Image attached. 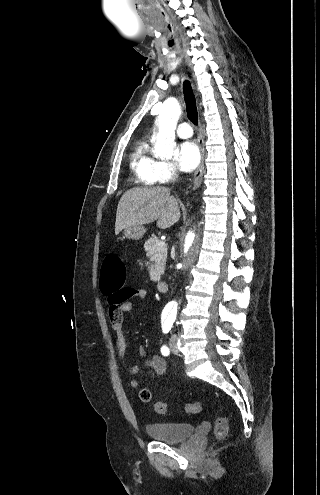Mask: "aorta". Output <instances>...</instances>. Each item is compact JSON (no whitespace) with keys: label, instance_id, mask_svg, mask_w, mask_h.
Returning <instances> with one entry per match:
<instances>
[{"label":"aorta","instance_id":"obj_1","mask_svg":"<svg viewBox=\"0 0 320 495\" xmlns=\"http://www.w3.org/2000/svg\"><path fill=\"white\" fill-rule=\"evenodd\" d=\"M155 124L158 128L154 153L164 158H172L176 147L175 130L181 115V107L175 98H168L157 108ZM202 227L196 223L185 234L182 251L178 256V264L186 266L189 258L195 256L198 250ZM171 313L177 310V304L172 301L166 307Z\"/></svg>","mask_w":320,"mask_h":495}]
</instances>
